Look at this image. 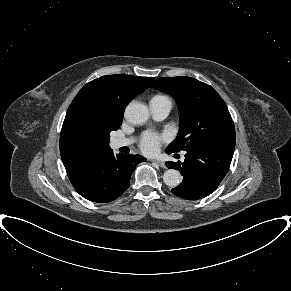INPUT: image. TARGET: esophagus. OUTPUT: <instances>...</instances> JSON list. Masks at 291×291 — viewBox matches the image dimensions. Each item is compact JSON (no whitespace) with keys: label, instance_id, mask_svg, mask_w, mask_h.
<instances>
[{"label":"esophagus","instance_id":"34e87169","mask_svg":"<svg viewBox=\"0 0 291 291\" xmlns=\"http://www.w3.org/2000/svg\"><path fill=\"white\" fill-rule=\"evenodd\" d=\"M154 163H156L157 165H159L162 168H165V163L163 161L160 160H153Z\"/></svg>","mask_w":291,"mask_h":291}]
</instances>
